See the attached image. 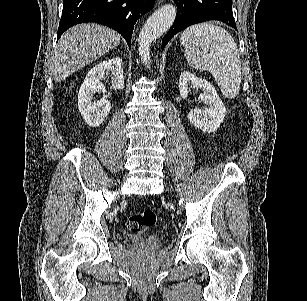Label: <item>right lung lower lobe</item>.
<instances>
[{"instance_id": "right-lung-lower-lobe-1", "label": "right lung lower lobe", "mask_w": 307, "mask_h": 301, "mask_svg": "<svg viewBox=\"0 0 307 301\" xmlns=\"http://www.w3.org/2000/svg\"><path fill=\"white\" fill-rule=\"evenodd\" d=\"M154 3L155 0H63L57 40L73 25L96 22L119 32L131 47L134 24Z\"/></svg>"}]
</instances>
